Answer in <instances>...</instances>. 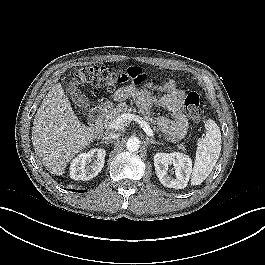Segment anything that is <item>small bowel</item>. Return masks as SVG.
I'll use <instances>...</instances> for the list:
<instances>
[{"label":"small bowel","mask_w":265,"mask_h":265,"mask_svg":"<svg viewBox=\"0 0 265 265\" xmlns=\"http://www.w3.org/2000/svg\"><path fill=\"white\" fill-rule=\"evenodd\" d=\"M131 69L136 70L137 68ZM139 71L144 76L141 70ZM138 85L130 82L122 86L113 94V98L116 101H122L132 97L144 113H148L153 106L166 109L171 113L172 117L160 116L156 118V126L170 140L175 141L182 138L188 126L187 119L183 113V91L177 88L174 81H168L159 86L146 83L145 89L139 88Z\"/></svg>","instance_id":"obj_1"}]
</instances>
